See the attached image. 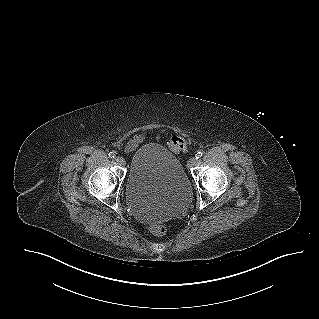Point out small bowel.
I'll use <instances>...</instances> for the list:
<instances>
[{"instance_id": "obj_1", "label": "small bowel", "mask_w": 319, "mask_h": 319, "mask_svg": "<svg viewBox=\"0 0 319 319\" xmlns=\"http://www.w3.org/2000/svg\"><path fill=\"white\" fill-rule=\"evenodd\" d=\"M140 140H141V136H137V137H135L134 139H132V140L128 143L127 149H128V150L133 149V148L138 144V142H139Z\"/></svg>"}]
</instances>
